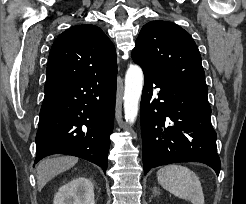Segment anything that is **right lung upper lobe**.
Masks as SVG:
<instances>
[{"label": "right lung upper lobe", "mask_w": 246, "mask_h": 204, "mask_svg": "<svg viewBox=\"0 0 246 204\" xmlns=\"http://www.w3.org/2000/svg\"><path fill=\"white\" fill-rule=\"evenodd\" d=\"M117 71L116 50L95 25H77L61 33L52 45L46 83Z\"/></svg>", "instance_id": "obj_1"}]
</instances>
